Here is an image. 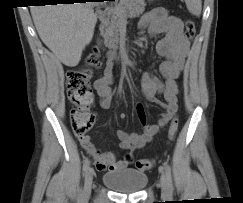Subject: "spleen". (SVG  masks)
Here are the masks:
<instances>
[{
    "label": "spleen",
    "instance_id": "spleen-1",
    "mask_svg": "<svg viewBox=\"0 0 243 203\" xmlns=\"http://www.w3.org/2000/svg\"><path fill=\"white\" fill-rule=\"evenodd\" d=\"M187 9L195 16H200L202 10L201 0H185Z\"/></svg>",
    "mask_w": 243,
    "mask_h": 203
}]
</instances>
